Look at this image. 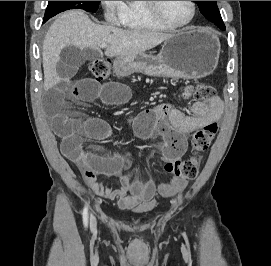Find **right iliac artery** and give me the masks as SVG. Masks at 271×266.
I'll return each mask as SVG.
<instances>
[{
	"instance_id": "82829eb1",
	"label": "right iliac artery",
	"mask_w": 271,
	"mask_h": 266,
	"mask_svg": "<svg viewBox=\"0 0 271 266\" xmlns=\"http://www.w3.org/2000/svg\"><path fill=\"white\" fill-rule=\"evenodd\" d=\"M83 222H84L85 226L88 225V209H87V205L84 207V210H83Z\"/></svg>"
}]
</instances>
